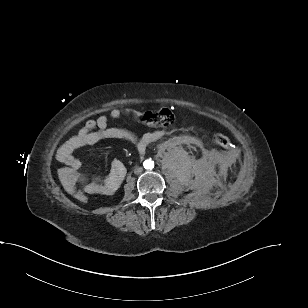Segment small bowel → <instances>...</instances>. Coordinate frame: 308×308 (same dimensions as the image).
<instances>
[{
  "label": "small bowel",
  "instance_id": "obj_1",
  "mask_svg": "<svg viewBox=\"0 0 308 308\" xmlns=\"http://www.w3.org/2000/svg\"><path fill=\"white\" fill-rule=\"evenodd\" d=\"M127 113H129L128 109L115 108L109 112V116L117 119ZM162 134V132H149L138 137L127 129L110 127L106 115L87 120L74 136L58 148L56 153L58 161L67 167L68 189L74 192L80 186V189L88 195H111L118 189L126 174L124 164L116 159L112 162L110 172L104 180L87 181L80 172L81 161L74 156V152L78 148L94 145L104 139H118L128 141L137 146L138 149L143 150L150 143L158 140Z\"/></svg>",
  "mask_w": 308,
  "mask_h": 308
}]
</instances>
